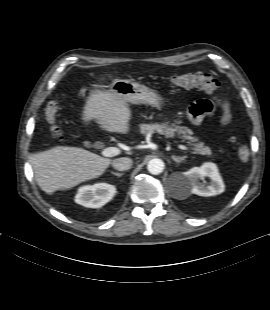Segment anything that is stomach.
I'll list each match as a JSON object with an SVG mask.
<instances>
[{
	"mask_svg": "<svg viewBox=\"0 0 270 310\" xmlns=\"http://www.w3.org/2000/svg\"><path fill=\"white\" fill-rule=\"evenodd\" d=\"M109 91L123 98L127 103L160 106L162 102L156 91L132 80L117 79L109 86Z\"/></svg>",
	"mask_w": 270,
	"mask_h": 310,
	"instance_id": "1",
	"label": "stomach"
}]
</instances>
